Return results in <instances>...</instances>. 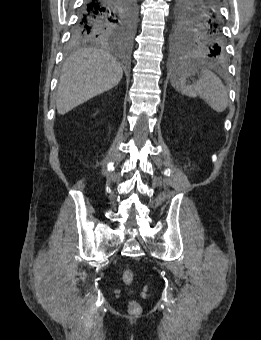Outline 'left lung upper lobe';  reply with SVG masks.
<instances>
[{"instance_id":"1","label":"left lung upper lobe","mask_w":261,"mask_h":340,"mask_svg":"<svg viewBox=\"0 0 261 340\" xmlns=\"http://www.w3.org/2000/svg\"><path fill=\"white\" fill-rule=\"evenodd\" d=\"M173 43L180 48L196 49L206 56L223 59L226 40L220 8L206 14L201 0H177Z\"/></svg>"}]
</instances>
